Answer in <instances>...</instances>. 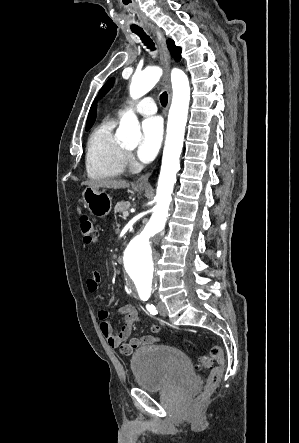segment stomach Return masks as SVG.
Here are the masks:
<instances>
[{"label":"stomach","mask_w":299,"mask_h":443,"mask_svg":"<svg viewBox=\"0 0 299 443\" xmlns=\"http://www.w3.org/2000/svg\"><path fill=\"white\" fill-rule=\"evenodd\" d=\"M140 190H144L140 187ZM85 207L96 217H106L112 209V197L104 190L87 186L82 193Z\"/></svg>","instance_id":"0dacf381"}]
</instances>
